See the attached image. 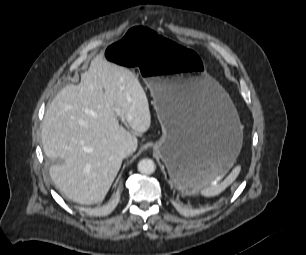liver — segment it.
<instances>
[{
	"label": "liver",
	"mask_w": 306,
	"mask_h": 255,
	"mask_svg": "<svg viewBox=\"0 0 306 255\" xmlns=\"http://www.w3.org/2000/svg\"><path fill=\"white\" fill-rule=\"evenodd\" d=\"M118 118L134 133H145L151 125L148 98L133 72L102 57L92 60L79 85L65 86L50 103L42 144L45 155L57 162L50 176L67 198L101 203L122 164L119 147L137 149L136 136Z\"/></svg>",
	"instance_id": "1"
}]
</instances>
